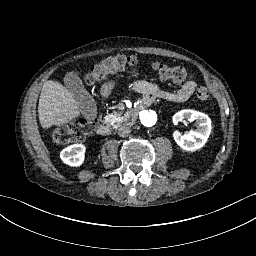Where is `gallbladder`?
Returning <instances> with one entry per match:
<instances>
[{"label":"gallbladder","mask_w":256,"mask_h":256,"mask_svg":"<svg viewBox=\"0 0 256 256\" xmlns=\"http://www.w3.org/2000/svg\"><path fill=\"white\" fill-rule=\"evenodd\" d=\"M65 87L73 94L81 114L86 119H91L97 114L96 102L90 93L84 88L78 72H68L64 77Z\"/></svg>","instance_id":"bac80fb5"}]
</instances>
